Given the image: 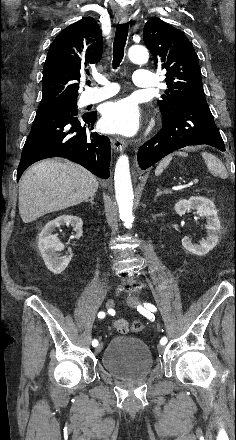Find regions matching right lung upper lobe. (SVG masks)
Returning a JSON list of instances; mask_svg holds the SVG:
<instances>
[{"label": "right lung upper lobe", "instance_id": "obj_1", "mask_svg": "<svg viewBox=\"0 0 236 440\" xmlns=\"http://www.w3.org/2000/svg\"><path fill=\"white\" fill-rule=\"evenodd\" d=\"M102 43L100 27L92 17L82 18L57 35L43 67L39 108L76 101L78 82L101 60Z\"/></svg>", "mask_w": 236, "mask_h": 440}]
</instances>
